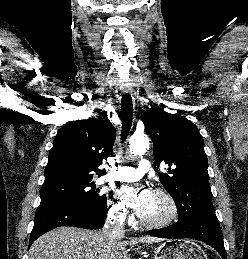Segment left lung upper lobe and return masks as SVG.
I'll return each instance as SVG.
<instances>
[{
	"label": "left lung upper lobe",
	"instance_id": "obj_1",
	"mask_svg": "<svg viewBox=\"0 0 248 259\" xmlns=\"http://www.w3.org/2000/svg\"><path fill=\"white\" fill-rule=\"evenodd\" d=\"M143 122L153 140L156 163L165 162L169 166L168 174H162L160 181L176 203L178 220L215 213L207 156L197 127L183 116L162 108L147 110Z\"/></svg>",
	"mask_w": 248,
	"mask_h": 259
}]
</instances>
